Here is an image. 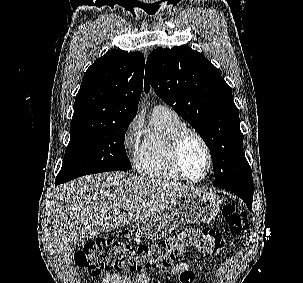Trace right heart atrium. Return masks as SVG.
<instances>
[{"instance_id": "d8ad5b80", "label": "right heart atrium", "mask_w": 303, "mask_h": 283, "mask_svg": "<svg viewBox=\"0 0 303 283\" xmlns=\"http://www.w3.org/2000/svg\"><path fill=\"white\" fill-rule=\"evenodd\" d=\"M140 130L141 120L136 117L127 125L124 131L123 143L127 149H134L137 147Z\"/></svg>"}]
</instances>
